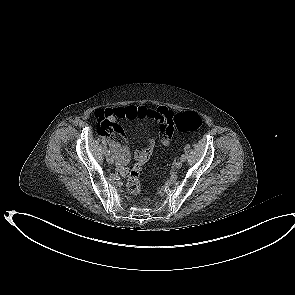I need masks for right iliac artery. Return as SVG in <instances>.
I'll list each match as a JSON object with an SVG mask.
<instances>
[{
    "label": "right iliac artery",
    "instance_id": "right-iliac-artery-1",
    "mask_svg": "<svg viewBox=\"0 0 295 295\" xmlns=\"http://www.w3.org/2000/svg\"><path fill=\"white\" fill-rule=\"evenodd\" d=\"M106 155H107V156L110 155V150H107V151H106Z\"/></svg>",
    "mask_w": 295,
    "mask_h": 295
}]
</instances>
